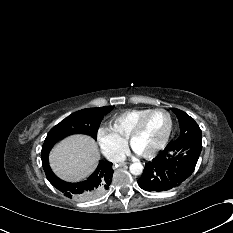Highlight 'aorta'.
<instances>
[{"instance_id": "aorta-1", "label": "aorta", "mask_w": 233, "mask_h": 233, "mask_svg": "<svg viewBox=\"0 0 233 233\" xmlns=\"http://www.w3.org/2000/svg\"><path fill=\"white\" fill-rule=\"evenodd\" d=\"M129 170L133 175H140L143 172V165L139 162L132 163Z\"/></svg>"}]
</instances>
